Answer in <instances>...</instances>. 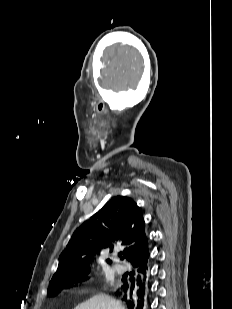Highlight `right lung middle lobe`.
Here are the masks:
<instances>
[{"mask_svg":"<svg viewBox=\"0 0 232 309\" xmlns=\"http://www.w3.org/2000/svg\"><path fill=\"white\" fill-rule=\"evenodd\" d=\"M84 280H86V278H82L80 280H69V281L54 283L50 286V289L48 290V295L49 296H55V295L59 294V292L62 289L67 288L69 284H74V283L84 281Z\"/></svg>","mask_w":232,"mask_h":309,"instance_id":"right-lung-middle-lobe-1","label":"right lung middle lobe"}]
</instances>
